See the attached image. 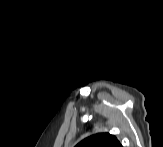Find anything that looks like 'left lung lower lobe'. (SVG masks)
Segmentation results:
<instances>
[{
  "instance_id": "obj_1",
  "label": "left lung lower lobe",
  "mask_w": 163,
  "mask_h": 147,
  "mask_svg": "<svg viewBox=\"0 0 163 147\" xmlns=\"http://www.w3.org/2000/svg\"><path fill=\"white\" fill-rule=\"evenodd\" d=\"M118 147H122V145L121 144H119V146Z\"/></svg>"
}]
</instances>
